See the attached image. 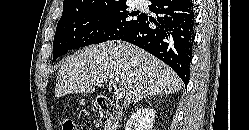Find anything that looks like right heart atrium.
Returning a JSON list of instances; mask_svg holds the SVG:
<instances>
[{"label":"right heart atrium","instance_id":"obj_1","mask_svg":"<svg viewBox=\"0 0 249 130\" xmlns=\"http://www.w3.org/2000/svg\"><path fill=\"white\" fill-rule=\"evenodd\" d=\"M100 23L104 26H107L110 24V19L108 17H103L101 20H100Z\"/></svg>","mask_w":249,"mask_h":130}]
</instances>
